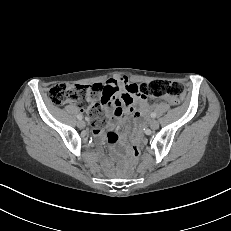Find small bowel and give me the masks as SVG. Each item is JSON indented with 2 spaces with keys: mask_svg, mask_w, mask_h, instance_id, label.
Segmentation results:
<instances>
[{
  "mask_svg": "<svg viewBox=\"0 0 231 231\" xmlns=\"http://www.w3.org/2000/svg\"><path fill=\"white\" fill-rule=\"evenodd\" d=\"M94 99H99L105 105V112L112 118L106 131L101 126L93 125V134L98 138H105L114 144L119 140L116 131V120L124 113H135L137 118H143L148 112V107L139 95V87L130 83L124 75H116L102 83L90 85ZM166 101H170L165 98ZM138 106V107H137Z\"/></svg>",
  "mask_w": 231,
  "mask_h": 231,
  "instance_id": "obj_1",
  "label": "small bowel"
}]
</instances>
